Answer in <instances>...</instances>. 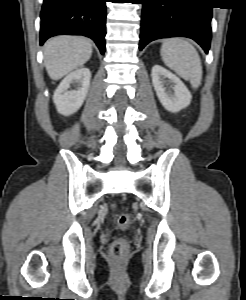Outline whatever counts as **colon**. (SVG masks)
I'll return each instance as SVG.
<instances>
[{
    "label": "colon",
    "mask_w": 246,
    "mask_h": 300,
    "mask_svg": "<svg viewBox=\"0 0 246 300\" xmlns=\"http://www.w3.org/2000/svg\"><path fill=\"white\" fill-rule=\"evenodd\" d=\"M116 223L121 229H127L131 225V218L127 214L118 215ZM129 252V244L125 239L115 240L110 247V258L114 262L124 260Z\"/></svg>",
    "instance_id": "colon-1"
}]
</instances>
